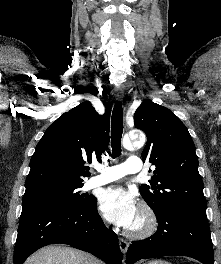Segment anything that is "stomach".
<instances>
[{
    "instance_id": "stomach-1",
    "label": "stomach",
    "mask_w": 221,
    "mask_h": 264,
    "mask_svg": "<svg viewBox=\"0 0 221 264\" xmlns=\"http://www.w3.org/2000/svg\"><path fill=\"white\" fill-rule=\"evenodd\" d=\"M146 264H171V263L164 261V260L157 259V260L150 261Z\"/></svg>"
}]
</instances>
